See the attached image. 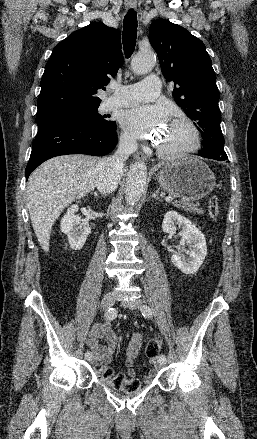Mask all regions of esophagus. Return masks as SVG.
<instances>
[{"instance_id":"obj_1","label":"esophagus","mask_w":257,"mask_h":439,"mask_svg":"<svg viewBox=\"0 0 257 439\" xmlns=\"http://www.w3.org/2000/svg\"><path fill=\"white\" fill-rule=\"evenodd\" d=\"M125 6L127 9H136V0H125ZM134 159L137 161H146L145 155L141 152L134 154Z\"/></svg>"}]
</instances>
